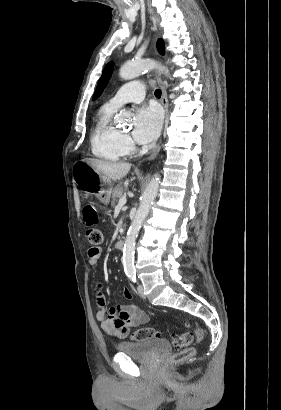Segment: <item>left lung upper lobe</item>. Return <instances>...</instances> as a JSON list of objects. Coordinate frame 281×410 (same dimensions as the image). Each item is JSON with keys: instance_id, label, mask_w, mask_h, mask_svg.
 <instances>
[{"instance_id": "5c2ea615", "label": "left lung upper lobe", "mask_w": 281, "mask_h": 410, "mask_svg": "<svg viewBox=\"0 0 281 410\" xmlns=\"http://www.w3.org/2000/svg\"><path fill=\"white\" fill-rule=\"evenodd\" d=\"M157 49H158L160 54H162V55L164 54L165 46H164V42H163L162 39H158ZM112 71H113V63L109 62L105 66L104 71L102 73V76L98 81V84H97V87H96V90H95V93H94V96H93V100L97 99L101 95L103 89L105 88V86L108 83V80L111 77Z\"/></svg>"}]
</instances>
